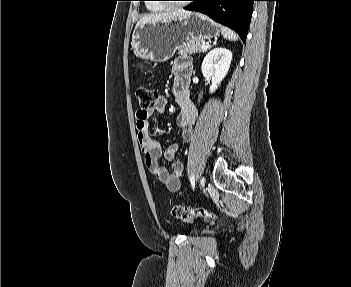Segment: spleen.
<instances>
[{
  "mask_svg": "<svg viewBox=\"0 0 351 287\" xmlns=\"http://www.w3.org/2000/svg\"><path fill=\"white\" fill-rule=\"evenodd\" d=\"M221 33L225 39L230 41H236L238 39L236 33L227 27H221Z\"/></svg>",
  "mask_w": 351,
  "mask_h": 287,
  "instance_id": "1",
  "label": "spleen"
}]
</instances>
